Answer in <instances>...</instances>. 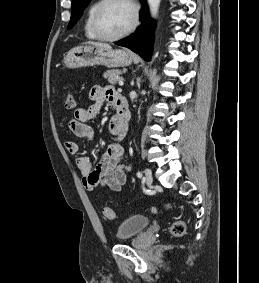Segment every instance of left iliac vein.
Returning <instances> with one entry per match:
<instances>
[{
  "mask_svg": "<svg viewBox=\"0 0 259 283\" xmlns=\"http://www.w3.org/2000/svg\"><path fill=\"white\" fill-rule=\"evenodd\" d=\"M144 172H145V181H146L147 185L150 187L152 185V182H153L152 172L148 168H146Z\"/></svg>",
  "mask_w": 259,
  "mask_h": 283,
  "instance_id": "obj_1",
  "label": "left iliac vein"
}]
</instances>
